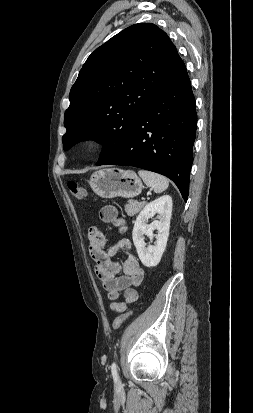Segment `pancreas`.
I'll list each match as a JSON object with an SVG mask.
<instances>
[{"label":"pancreas","mask_w":253,"mask_h":413,"mask_svg":"<svg viewBox=\"0 0 253 413\" xmlns=\"http://www.w3.org/2000/svg\"><path fill=\"white\" fill-rule=\"evenodd\" d=\"M146 202L128 201L125 205V212L128 216H134L144 207Z\"/></svg>","instance_id":"pancreas-1"}]
</instances>
